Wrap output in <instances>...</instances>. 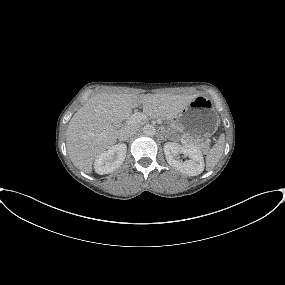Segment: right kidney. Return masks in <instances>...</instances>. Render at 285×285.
Here are the masks:
<instances>
[{"instance_id":"ca27d5eb","label":"right kidney","mask_w":285,"mask_h":285,"mask_svg":"<svg viewBox=\"0 0 285 285\" xmlns=\"http://www.w3.org/2000/svg\"><path fill=\"white\" fill-rule=\"evenodd\" d=\"M126 152L127 147L125 144H117L98 155L94 162L96 173L103 175L114 172L123 164Z\"/></svg>"}]
</instances>
